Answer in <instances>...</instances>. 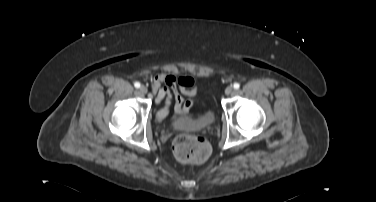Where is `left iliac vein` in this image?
I'll use <instances>...</instances> for the list:
<instances>
[{
	"instance_id": "left-iliac-vein-1",
	"label": "left iliac vein",
	"mask_w": 376,
	"mask_h": 202,
	"mask_svg": "<svg viewBox=\"0 0 376 202\" xmlns=\"http://www.w3.org/2000/svg\"><path fill=\"white\" fill-rule=\"evenodd\" d=\"M234 88L232 86H228L226 89H225V94L226 95H230L232 92H233Z\"/></svg>"
}]
</instances>
